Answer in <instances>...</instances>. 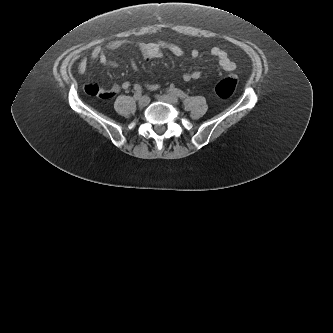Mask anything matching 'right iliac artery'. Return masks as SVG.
<instances>
[{
	"mask_svg": "<svg viewBox=\"0 0 333 333\" xmlns=\"http://www.w3.org/2000/svg\"><path fill=\"white\" fill-rule=\"evenodd\" d=\"M141 95H142V90H137L136 93L134 94V97L135 99L138 100L140 99Z\"/></svg>",
	"mask_w": 333,
	"mask_h": 333,
	"instance_id": "right-iliac-artery-1",
	"label": "right iliac artery"
}]
</instances>
